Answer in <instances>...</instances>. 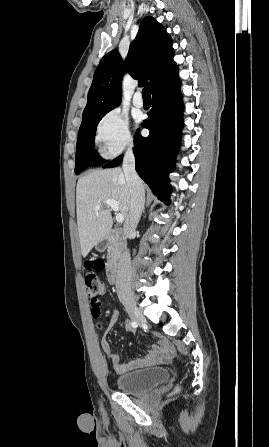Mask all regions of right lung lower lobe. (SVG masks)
<instances>
[{
	"label": "right lung lower lobe",
	"mask_w": 269,
	"mask_h": 447,
	"mask_svg": "<svg viewBox=\"0 0 269 447\" xmlns=\"http://www.w3.org/2000/svg\"><path fill=\"white\" fill-rule=\"evenodd\" d=\"M178 68L158 81L151 89L153 105L142 126L150 135L142 137L138 131L134 139L136 171L159 200L170 204L168 174L174 169L175 155L180 145L182 129V100ZM120 155L103 168L120 165Z\"/></svg>",
	"instance_id": "1"
}]
</instances>
